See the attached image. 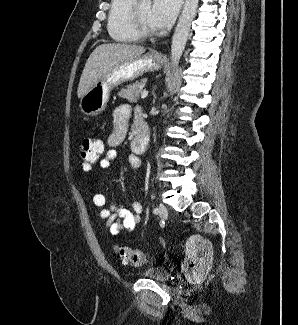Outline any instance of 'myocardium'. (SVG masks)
Instances as JSON below:
<instances>
[{
    "mask_svg": "<svg viewBox=\"0 0 298 325\" xmlns=\"http://www.w3.org/2000/svg\"><path fill=\"white\" fill-rule=\"evenodd\" d=\"M143 0H131L128 6V17L126 20L127 30L139 40H149L157 38L161 35L160 32H151L146 30L139 18V7Z\"/></svg>",
    "mask_w": 298,
    "mask_h": 325,
    "instance_id": "f54148a6",
    "label": "myocardium"
}]
</instances>
